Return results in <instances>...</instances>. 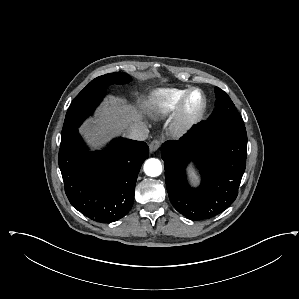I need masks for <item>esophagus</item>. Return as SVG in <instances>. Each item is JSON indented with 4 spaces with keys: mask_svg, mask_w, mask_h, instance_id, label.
<instances>
[{
    "mask_svg": "<svg viewBox=\"0 0 299 299\" xmlns=\"http://www.w3.org/2000/svg\"><path fill=\"white\" fill-rule=\"evenodd\" d=\"M160 144L161 141L159 139H154L149 145L150 152H155L156 150H158Z\"/></svg>",
    "mask_w": 299,
    "mask_h": 299,
    "instance_id": "obj_1",
    "label": "esophagus"
}]
</instances>
